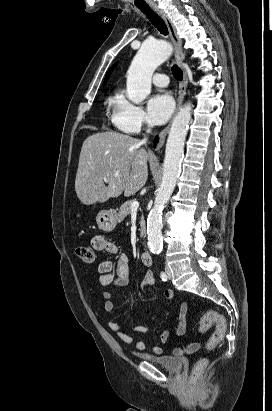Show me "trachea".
I'll return each instance as SVG.
<instances>
[{"mask_svg": "<svg viewBox=\"0 0 272 411\" xmlns=\"http://www.w3.org/2000/svg\"><path fill=\"white\" fill-rule=\"evenodd\" d=\"M137 7L141 10V12H143L147 16L150 22L158 29V31L161 34L163 35L168 34V28L165 22L163 21V19L159 17L149 6H137ZM171 69H172L173 76L178 81H181L183 77L182 70L177 65H173Z\"/></svg>", "mask_w": 272, "mask_h": 411, "instance_id": "1", "label": "trachea"}]
</instances>
